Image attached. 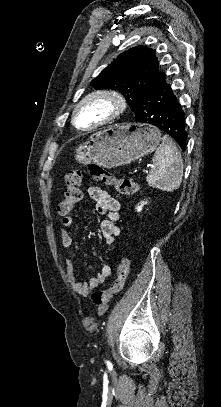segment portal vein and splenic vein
<instances>
[{"instance_id": "obj_1", "label": "portal vein and splenic vein", "mask_w": 221, "mask_h": 407, "mask_svg": "<svg viewBox=\"0 0 221 407\" xmlns=\"http://www.w3.org/2000/svg\"><path fill=\"white\" fill-rule=\"evenodd\" d=\"M143 173H148V169H143Z\"/></svg>"}]
</instances>
